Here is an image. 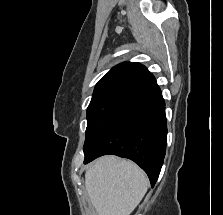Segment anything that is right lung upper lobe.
<instances>
[{
  "mask_svg": "<svg viewBox=\"0 0 223 215\" xmlns=\"http://www.w3.org/2000/svg\"><path fill=\"white\" fill-rule=\"evenodd\" d=\"M160 88L155 78L140 63L124 62L113 67L97 83L93 97L114 91H127L147 97Z\"/></svg>",
  "mask_w": 223,
  "mask_h": 215,
  "instance_id": "1",
  "label": "right lung upper lobe"
}]
</instances>
